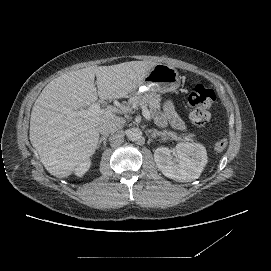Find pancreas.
<instances>
[{
	"label": "pancreas",
	"mask_w": 271,
	"mask_h": 271,
	"mask_svg": "<svg viewBox=\"0 0 271 271\" xmlns=\"http://www.w3.org/2000/svg\"><path fill=\"white\" fill-rule=\"evenodd\" d=\"M128 104H132L135 109L148 107L153 115H158L162 112L161 96L153 92H148L144 95L131 96ZM161 131L164 137L169 136L173 140L194 142L196 137V135L183 136L179 132L167 128H161Z\"/></svg>",
	"instance_id": "obj_1"
}]
</instances>
